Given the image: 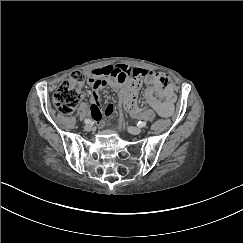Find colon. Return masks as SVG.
Masks as SVG:
<instances>
[{"label":"colon","mask_w":243,"mask_h":243,"mask_svg":"<svg viewBox=\"0 0 243 243\" xmlns=\"http://www.w3.org/2000/svg\"><path fill=\"white\" fill-rule=\"evenodd\" d=\"M84 79L85 74L81 71H76L71 74L69 80L64 81L57 88L53 95V104L59 113L63 115L71 114L77 104L83 99L82 85ZM143 79L144 72L134 71L120 93L123 108L131 115H137L141 112V108L137 103V92Z\"/></svg>","instance_id":"1"}]
</instances>
